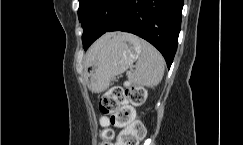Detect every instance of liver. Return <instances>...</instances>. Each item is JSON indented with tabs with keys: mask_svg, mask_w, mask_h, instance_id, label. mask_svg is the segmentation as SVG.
I'll return each instance as SVG.
<instances>
[{
	"mask_svg": "<svg viewBox=\"0 0 243 145\" xmlns=\"http://www.w3.org/2000/svg\"><path fill=\"white\" fill-rule=\"evenodd\" d=\"M110 36V34H106L104 35L99 41H97L91 48L90 53H89V57H91L92 53L98 48V46L104 42L108 37Z\"/></svg>",
	"mask_w": 243,
	"mask_h": 145,
	"instance_id": "1",
	"label": "liver"
}]
</instances>
